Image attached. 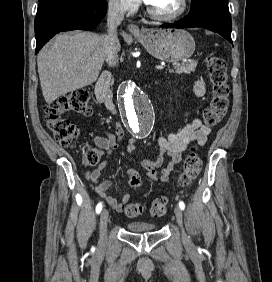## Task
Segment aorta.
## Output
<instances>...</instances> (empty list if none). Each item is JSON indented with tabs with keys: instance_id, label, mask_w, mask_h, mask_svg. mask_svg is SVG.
Here are the masks:
<instances>
[{
	"instance_id": "762f6f07",
	"label": "aorta",
	"mask_w": 272,
	"mask_h": 282,
	"mask_svg": "<svg viewBox=\"0 0 272 282\" xmlns=\"http://www.w3.org/2000/svg\"><path fill=\"white\" fill-rule=\"evenodd\" d=\"M119 99L122 116L130 131L136 136L148 135L154 125L155 111L142 87L134 81L125 82Z\"/></svg>"
}]
</instances>
